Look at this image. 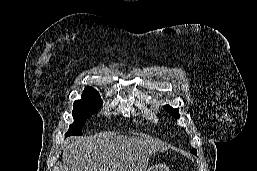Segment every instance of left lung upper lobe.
Listing matches in <instances>:
<instances>
[{
    "instance_id": "5c2ea615",
    "label": "left lung upper lobe",
    "mask_w": 257,
    "mask_h": 171,
    "mask_svg": "<svg viewBox=\"0 0 257 171\" xmlns=\"http://www.w3.org/2000/svg\"><path fill=\"white\" fill-rule=\"evenodd\" d=\"M164 107H165L166 110L169 111V113H171L174 117H176V118H179V117H180V115H179V113H178V111H179L178 108L174 109V108H172L170 105H165ZM191 152L194 153V154L197 153V151H196L195 149H192Z\"/></svg>"
}]
</instances>
